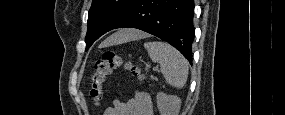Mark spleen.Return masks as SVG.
<instances>
[{
  "label": "spleen",
  "instance_id": "3e777b00",
  "mask_svg": "<svg viewBox=\"0 0 285 115\" xmlns=\"http://www.w3.org/2000/svg\"><path fill=\"white\" fill-rule=\"evenodd\" d=\"M144 47L153 62L160 64L166 82L181 89L188 78V62L184 56L170 44L162 41L146 42Z\"/></svg>",
  "mask_w": 285,
  "mask_h": 115
}]
</instances>
